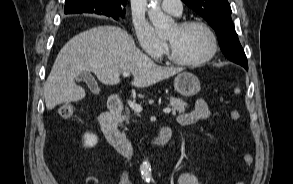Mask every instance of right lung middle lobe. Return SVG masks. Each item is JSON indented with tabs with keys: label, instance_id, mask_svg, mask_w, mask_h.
<instances>
[{
	"label": "right lung middle lobe",
	"instance_id": "obj_1",
	"mask_svg": "<svg viewBox=\"0 0 293 184\" xmlns=\"http://www.w3.org/2000/svg\"><path fill=\"white\" fill-rule=\"evenodd\" d=\"M106 14L109 17H112L113 19L117 20L121 17H124L125 13L124 12H109V13H103Z\"/></svg>",
	"mask_w": 293,
	"mask_h": 184
}]
</instances>
